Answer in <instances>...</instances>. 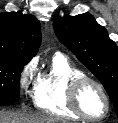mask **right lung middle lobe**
<instances>
[{
    "mask_svg": "<svg viewBox=\"0 0 118 123\" xmlns=\"http://www.w3.org/2000/svg\"><path fill=\"white\" fill-rule=\"evenodd\" d=\"M27 62L0 56V102L10 103L19 99L20 74Z\"/></svg>",
    "mask_w": 118,
    "mask_h": 123,
    "instance_id": "right-lung-middle-lobe-1",
    "label": "right lung middle lobe"
}]
</instances>
